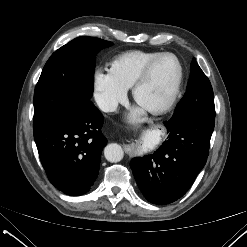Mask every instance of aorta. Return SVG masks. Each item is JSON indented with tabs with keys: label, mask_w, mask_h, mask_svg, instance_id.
I'll list each match as a JSON object with an SVG mask.
<instances>
[{
	"label": "aorta",
	"mask_w": 247,
	"mask_h": 247,
	"mask_svg": "<svg viewBox=\"0 0 247 247\" xmlns=\"http://www.w3.org/2000/svg\"><path fill=\"white\" fill-rule=\"evenodd\" d=\"M104 156L109 162H119L123 159L124 151L117 143L108 144L104 149Z\"/></svg>",
	"instance_id": "762f6f07"
}]
</instances>
